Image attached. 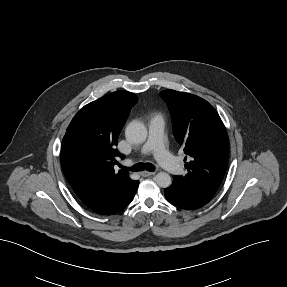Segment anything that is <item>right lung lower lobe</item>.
<instances>
[{
    "instance_id": "98d812e1",
    "label": "right lung lower lobe",
    "mask_w": 287,
    "mask_h": 287,
    "mask_svg": "<svg viewBox=\"0 0 287 287\" xmlns=\"http://www.w3.org/2000/svg\"><path fill=\"white\" fill-rule=\"evenodd\" d=\"M139 181L108 184L77 195L90 210L101 215H114L126 208L133 200Z\"/></svg>"
}]
</instances>
